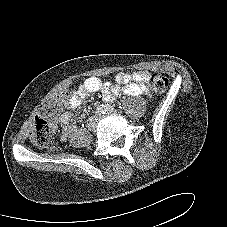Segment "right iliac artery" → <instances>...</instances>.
Instances as JSON below:
<instances>
[{
	"label": "right iliac artery",
	"mask_w": 227,
	"mask_h": 227,
	"mask_svg": "<svg viewBox=\"0 0 227 227\" xmlns=\"http://www.w3.org/2000/svg\"><path fill=\"white\" fill-rule=\"evenodd\" d=\"M106 113V109H105V105H100L99 107H97L95 114L96 115H104Z\"/></svg>",
	"instance_id": "82829eb1"
}]
</instances>
